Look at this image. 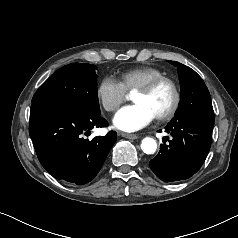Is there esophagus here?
Returning a JSON list of instances; mask_svg holds the SVG:
<instances>
[{
	"mask_svg": "<svg viewBox=\"0 0 238 238\" xmlns=\"http://www.w3.org/2000/svg\"><path fill=\"white\" fill-rule=\"evenodd\" d=\"M120 135L127 139H137L138 138V136L136 134H130V133H124V132H121Z\"/></svg>",
	"mask_w": 238,
	"mask_h": 238,
	"instance_id": "obj_1",
	"label": "esophagus"
}]
</instances>
